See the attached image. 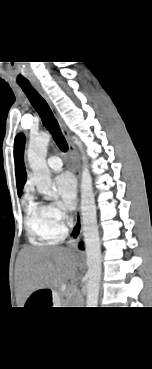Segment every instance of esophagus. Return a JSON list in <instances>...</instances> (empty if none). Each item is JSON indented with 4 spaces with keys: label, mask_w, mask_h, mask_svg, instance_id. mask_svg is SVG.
<instances>
[{
    "label": "esophagus",
    "mask_w": 152,
    "mask_h": 369,
    "mask_svg": "<svg viewBox=\"0 0 152 369\" xmlns=\"http://www.w3.org/2000/svg\"><path fill=\"white\" fill-rule=\"evenodd\" d=\"M34 87L38 90V92L41 94V96L46 100V102L48 103L49 107L51 108L54 117L56 118L60 128H61V132L64 135L67 144H68V149H69V154L71 156L74 168H75V172L77 175V179H80V168H79V161L77 158V154L75 151V147L73 146L70 137H69V133L66 127V124L64 123L63 119L61 118L60 114L58 113L57 109L55 108L54 104L52 103V101L50 100L49 96L47 95V93L43 90V88L40 86L39 83H33ZM81 234H82V217H81V213L79 208L76 211V217H75V221L74 224L72 226L70 235H69V239L67 241V246L71 249H76L77 245L81 239Z\"/></svg>",
    "instance_id": "34e87169"
}]
</instances>
